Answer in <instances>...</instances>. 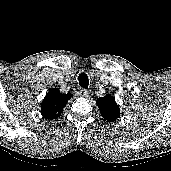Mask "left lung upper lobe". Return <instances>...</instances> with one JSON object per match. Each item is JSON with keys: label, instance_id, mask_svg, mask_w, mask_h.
Returning a JSON list of instances; mask_svg holds the SVG:
<instances>
[{"label": "left lung upper lobe", "instance_id": "1", "mask_svg": "<svg viewBox=\"0 0 171 171\" xmlns=\"http://www.w3.org/2000/svg\"><path fill=\"white\" fill-rule=\"evenodd\" d=\"M97 106L100 109L102 117L108 122L116 121L120 117V110L115 98L110 94L105 97L97 98Z\"/></svg>", "mask_w": 171, "mask_h": 171}]
</instances>
